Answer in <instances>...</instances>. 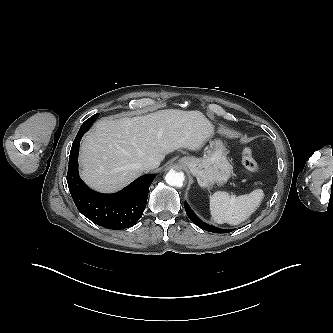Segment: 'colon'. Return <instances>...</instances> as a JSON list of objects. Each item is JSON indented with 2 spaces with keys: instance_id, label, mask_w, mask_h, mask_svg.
Returning a JSON list of instances; mask_svg holds the SVG:
<instances>
[{
  "instance_id": "obj_1",
  "label": "colon",
  "mask_w": 333,
  "mask_h": 333,
  "mask_svg": "<svg viewBox=\"0 0 333 333\" xmlns=\"http://www.w3.org/2000/svg\"><path fill=\"white\" fill-rule=\"evenodd\" d=\"M241 161L244 166V168L251 172V173H257L259 171V165L257 161L254 159L252 151L250 148L246 147L243 149L241 154Z\"/></svg>"
}]
</instances>
